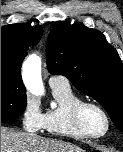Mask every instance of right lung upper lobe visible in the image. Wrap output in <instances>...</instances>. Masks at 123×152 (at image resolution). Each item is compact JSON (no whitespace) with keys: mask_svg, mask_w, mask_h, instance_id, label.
Segmentation results:
<instances>
[{"mask_svg":"<svg viewBox=\"0 0 123 152\" xmlns=\"http://www.w3.org/2000/svg\"><path fill=\"white\" fill-rule=\"evenodd\" d=\"M41 26L10 24L1 27V73L9 74L21 81V64L30 46L42 37Z\"/></svg>","mask_w":123,"mask_h":152,"instance_id":"1","label":"right lung upper lobe"}]
</instances>
